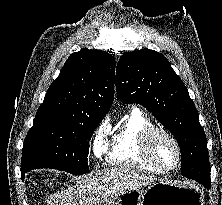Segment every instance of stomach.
<instances>
[{
	"label": "stomach",
	"mask_w": 222,
	"mask_h": 205,
	"mask_svg": "<svg viewBox=\"0 0 222 205\" xmlns=\"http://www.w3.org/2000/svg\"><path fill=\"white\" fill-rule=\"evenodd\" d=\"M203 198V191L196 185L159 180L149 184L144 191L124 192L104 205H203Z\"/></svg>",
	"instance_id": "stomach-1"
}]
</instances>
